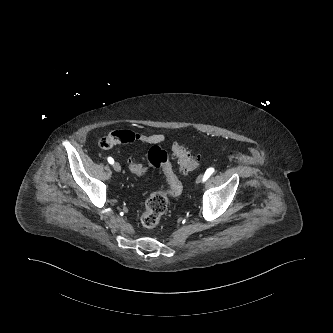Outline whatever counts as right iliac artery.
<instances>
[{
  "mask_svg": "<svg viewBox=\"0 0 333 333\" xmlns=\"http://www.w3.org/2000/svg\"><path fill=\"white\" fill-rule=\"evenodd\" d=\"M108 162H109L110 164H113V163H114V159H113L112 157H108Z\"/></svg>",
  "mask_w": 333,
  "mask_h": 333,
  "instance_id": "1",
  "label": "right iliac artery"
}]
</instances>
